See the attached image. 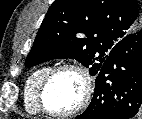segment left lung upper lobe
Instances as JSON below:
<instances>
[{
	"instance_id": "obj_1",
	"label": "left lung upper lobe",
	"mask_w": 142,
	"mask_h": 119,
	"mask_svg": "<svg viewBox=\"0 0 142 119\" xmlns=\"http://www.w3.org/2000/svg\"><path fill=\"white\" fill-rule=\"evenodd\" d=\"M141 26L137 0H55L40 26L26 65L75 58L95 76L109 51Z\"/></svg>"
}]
</instances>
